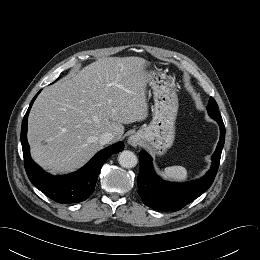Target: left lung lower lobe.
<instances>
[{"label": "left lung lower lobe", "instance_id": "left-lung-lower-lobe-1", "mask_svg": "<svg viewBox=\"0 0 260 260\" xmlns=\"http://www.w3.org/2000/svg\"><path fill=\"white\" fill-rule=\"evenodd\" d=\"M214 120L220 126V140L212 155L211 169L199 180L184 184L162 182L153 170L151 157L144 151L140 152L137 183L138 193L145 205L161 211H177L198 198L211 186L219 167L225 141V127L222 119Z\"/></svg>", "mask_w": 260, "mask_h": 260}]
</instances>
